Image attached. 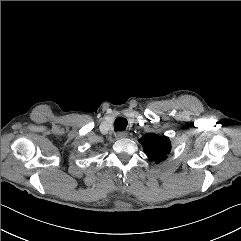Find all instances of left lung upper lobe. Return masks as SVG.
<instances>
[{
	"label": "left lung upper lobe",
	"mask_w": 241,
	"mask_h": 241,
	"mask_svg": "<svg viewBox=\"0 0 241 241\" xmlns=\"http://www.w3.org/2000/svg\"><path fill=\"white\" fill-rule=\"evenodd\" d=\"M139 141L148 158L156 163L165 160L171 150L170 140L166 136L159 137L149 133L144 135Z\"/></svg>",
	"instance_id": "left-lung-upper-lobe-1"
}]
</instances>
